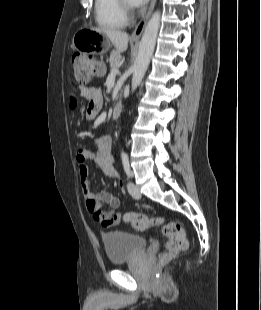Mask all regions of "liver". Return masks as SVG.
<instances>
[{"label": "liver", "mask_w": 261, "mask_h": 310, "mask_svg": "<svg viewBox=\"0 0 261 310\" xmlns=\"http://www.w3.org/2000/svg\"><path fill=\"white\" fill-rule=\"evenodd\" d=\"M91 30L104 33L118 52L126 51L129 40V36L126 32L109 28H92Z\"/></svg>", "instance_id": "obj_1"}]
</instances>
